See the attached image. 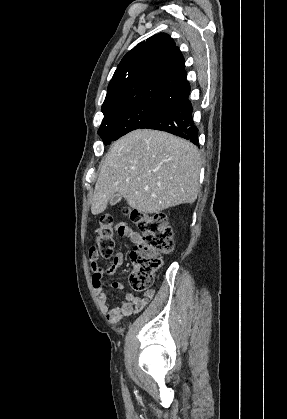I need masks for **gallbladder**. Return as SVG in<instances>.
Segmentation results:
<instances>
[{"instance_id":"obj_1","label":"gallbladder","mask_w":287,"mask_h":419,"mask_svg":"<svg viewBox=\"0 0 287 419\" xmlns=\"http://www.w3.org/2000/svg\"><path fill=\"white\" fill-rule=\"evenodd\" d=\"M121 199H122L121 195H119V194L114 195L109 202L110 206L116 205L117 203H119L121 201Z\"/></svg>"}]
</instances>
